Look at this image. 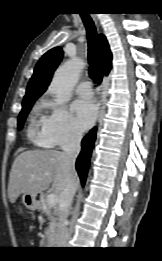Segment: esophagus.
<instances>
[{"label": "esophagus", "instance_id": "esophagus-1", "mask_svg": "<svg viewBox=\"0 0 162 261\" xmlns=\"http://www.w3.org/2000/svg\"><path fill=\"white\" fill-rule=\"evenodd\" d=\"M95 20L97 22L96 18H95ZM103 95H104V86H102L101 100H100V109H99V113H98L97 123L100 122V119H101L102 114H103V109H104Z\"/></svg>", "mask_w": 162, "mask_h": 261}]
</instances>
